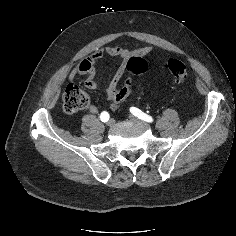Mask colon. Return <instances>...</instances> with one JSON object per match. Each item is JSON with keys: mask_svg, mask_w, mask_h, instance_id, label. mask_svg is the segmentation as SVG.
I'll use <instances>...</instances> for the list:
<instances>
[{"mask_svg": "<svg viewBox=\"0 0 236 236\" xmlns=\"http://www.w3.org/2000/svg\"><path fill=\"white\" fill-rule=\"evenodd\" d=\"M148 64L141 57H131L127 62V69L132 75L143 74ZM166 69L177 83H184L188 76L187 66L180 60L171 59L166 63ZM133 90V79L129 77L111 100L112 108H117ZM88 95L77 85L69 84L63 93V106L67 113L73 114L87 107Z\"/></svg>", "mask_w": 236, "mask_h": 236, "instance_id": "colon-1", "label": "colon"}]
</instances>
